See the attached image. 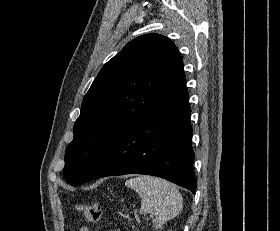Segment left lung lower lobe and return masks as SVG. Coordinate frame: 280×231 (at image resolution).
Wrapping results in <instances>:
<instances>
[{
    "label": "left lung lower lobe",
    "instance_id": "left-lung-lower-lobe-1",
    "mask_svg": "<svg viewBox=\"0 0 280 231\" xmlns=\"http://www.w3.org/2000/svg\"><path fill=\"white\" fill-rule=\"evenodd\" d=\"M190 115L184 80L114 141L86 181L146 174L165 178L195 194Z\"/></svg>",
    "mask_w": 280,
    "mask_h": 231
}]
</instances>
